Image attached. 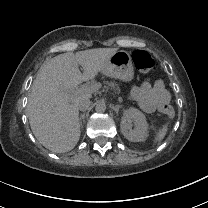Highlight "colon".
Wrapping results in <instances>:
<instances>
[{
  "label": "colon",
  "instance_id": "1",
  "mask_svg": "<svg viewBox=\"0 0 208 208\" xmlns=\"http://www.w3.org/2000/svg\"><path fill=\"white\" fill-rule=\"evenodd\" d=\"M132 61L136 69L141 72L152 74L155 72L154 60L150 53L145 50L137 49L132 54ZM159 111L164 113L166 120L163 122V126L168 127L170 122L175 117V110L171 106H163L159 108Z\"/></svg>",
  "mask_w": 208,
  "mask_h": 208
}]
</instances>
